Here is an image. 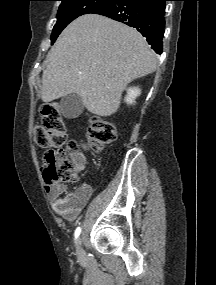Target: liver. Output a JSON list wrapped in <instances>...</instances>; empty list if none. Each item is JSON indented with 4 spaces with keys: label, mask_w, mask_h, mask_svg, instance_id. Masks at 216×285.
Returning <instances> with one entry per match:
<instances>
[{
    "label": "liver",
    "mask_w": 216,
    "mask_h": 285,
    "mask_svg": "<svg viewBox=\"0 0 216 285\" xmlns=\"http://www.w3.org/2000/svg\"><path fill=\"white\" fill-rule=\"evenodd\" d=\"M157 58L132 27L95 14L83 15L60 34L42 75L45 103L76 93L88 111L110 116L131 81L151 74Z\"/></svg>",
    "instance_id": "obj_1"
}]
</instances>
